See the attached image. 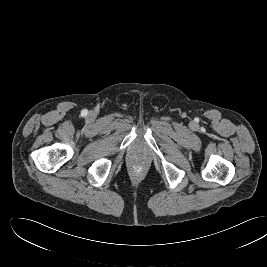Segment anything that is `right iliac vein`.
Listing matches in <instances>:
<instances>
[{
	"mask_svg": "<svg viewBox=\"0 0 267 267\" xmlns=\"http://www.w3.org/2000/svg\"><path fill=\"white\" fill-rule=\"evenodd\" d=\"M89 118H92V114L89 115Z\"/></svg>",
	"mask_w": 267,
	"mask_h": 267,
	"instance_id": "1",
	"label": "right iliac vein"
}]
</instances>
